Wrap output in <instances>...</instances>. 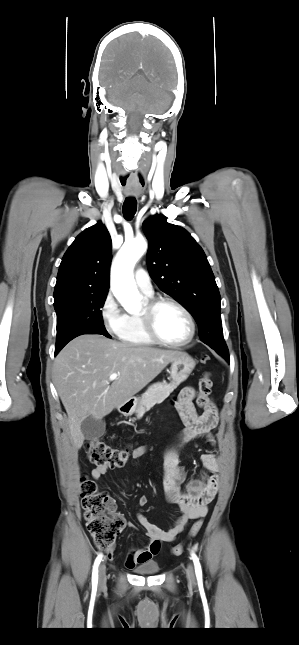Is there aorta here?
Segmentation results:
<instances>
[{
  "mask_svg": "<svg viewBox=\"0 0 299 645\" xmlns=\"http://www.w3.org/2000/svg\"><path fill=\"white\" fill-rule=\"evenodd\" d=\"M146 249L147 243L144 239L124 243L112 267L111 290L128 312H135L140 308L141 296L134 280L133 269Z\"/></svg>",
  "mask_w": 299,
  "mask_h": 645,
  "instance_id": "aorta-1",
  "label": "aorta"
}]
</instances>
